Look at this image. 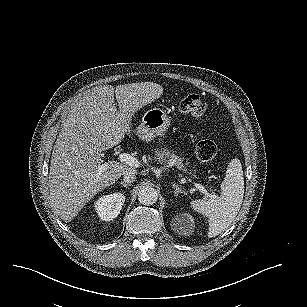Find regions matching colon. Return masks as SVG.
Returning a JSON list of instances; mask_svg holds the SVG:
<instances>
[{
  "instance_id": "5ec220e1",
  "label": "colon",
  "mask_w": 307,
  "mask_h": 307,
  "mask_svg": "<svg viewBox=\"0 0 307 307\" xmlns=\"http://www.w3.org/2000/svg\"><path fill=\"white\" fill-rule=\"evenodd\" d=\"M178 108L185 114L200 118L206 111V102L197 94H188L181 98ZM216 152V144L211 140H201L195 148V154L201 162L211 161Z\"/></svg>"
}]
</instances>
